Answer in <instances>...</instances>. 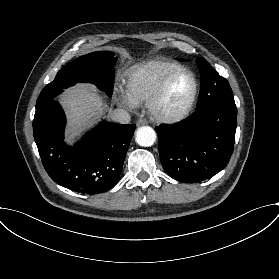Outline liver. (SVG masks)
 <instances>
[{
  "label": "liver",
  "mask_w": 279,
  "mask_h": 279,
  "mask_svg": "<svg viewBox=\"0 0 279 279\" xmlns=\"http://www.w3.org/2000/svg\"><path fill=\"white\" fill-rule=\"evenodd\" d=\"M64 107L69 118L67 139L73 140L76 135L108 106L102 103L97 90L93 86L79 85L67 90L63 95Z\"/></svg>",
  "instance_id": "liver-1"
}]
</instances>
